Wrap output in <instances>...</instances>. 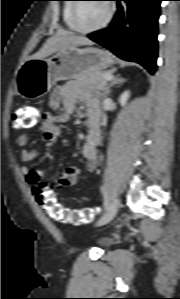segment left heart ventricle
Instances as JSON below:
<instances>
[{"instance_id": "b2bd125f", "label": "left heart ventricle", "mask_w": 180, "mask_h": 299, "mask_svg": "<svg viewBox=\"0 0 180 299\" xmlns=\"http://www.w3.org/2000/svg\"><path fill=\"white\" fill-rule=\"evenodd\" d=\"M107 14L105 2L81 3L77 11V23L82 28H91L99 25Z\"/></svg>"}]
</instances>
